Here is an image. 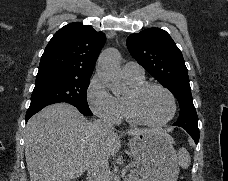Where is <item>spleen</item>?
<instances>
[{"label":"spleen","instance_id":"1","mask_svg":"<svg viewBox=\"0 0 228 181\" xmlns=\"http://www.w3.org/2000/svg\"><path fill=\"white\" fill-rule=\"evenodd\" d=\"M177 159L182 169H188V167H190L191 157L187 149H184V147H182V149H179Z\"/></svg>","mask_w":228,"mask_h":181}]
</instances>
